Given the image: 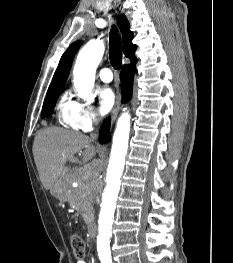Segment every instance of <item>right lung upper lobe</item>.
<instances>
[{"label": "right lung upper lobe", "instance_id": "right-lung-upper-lobe-1", "mask_svg": "<svg viewBox=\"0 0 233 263\" xmlns=\"http://www.w3.org/2000/svg\"><path fill=\"white\" fill-rule=\"evenodd\" d=\"M118 25L122 33L123 52L125 56L128 57L133 62L137 60L134 55L136 51V45L132 44L133 32L130 31V24L127 18L125 17V15H121L118 18ZM80 45H81L80 41L73 43L72 45L69 46L67 51L62 55L59 65L53 76L52 85H50L48 90L60 88L64 86L67 80L74 56L77 53Z\"/></svg>", "mask_w": 233, "mask_h": 263}]
</instances>
